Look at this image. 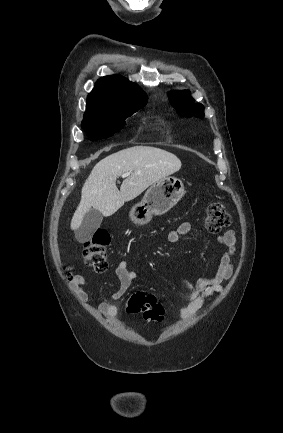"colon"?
I'll list each match as a JSON object with an SVG mask.
<instances>
[{
	"mask_svg": "<svg viewBox=\"0 0 283 433\" xmlns=\"http://www.w3.org/2000/svg\"><path fill=\"white\" fill-rule=\"evenodd\" d=\"M231 223V217L224 206L218 202L207 205L204 225L210 232H218ZM110 242L106 233H97L84 244V263L98 272L108 268L107 246ZM125 310L129 314H141L150 322H161L164 318V308L156 297L144 292L133 294L126 303Z\"/></svg>",
	"mask_w": 283,
	"mask_h": 433,
	"instance_id": "obj_1",
	"label": "colon"
}]
</instances>
